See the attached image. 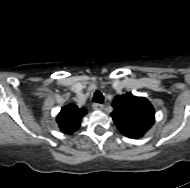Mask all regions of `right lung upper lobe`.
Here are the masks:
<instances>
[{
  "label": "right lung upper lobe",
  "mask_w": 190,
  "mask_h": 188,
  "mask_svg": "<svg viewBox=\"0 0 190 188\" xmlns=\"http://www.w3.org/2000/svg\"><path fill=\"white\" fill-rule=\"evenodd\" d=\"M86 114L87 110L84 107L79 108L71 103L62 107L56 120L63 133L71 134L80 127L81 120Z\"/></svg>",
  "instance_id": "right-lung-upper-lobe-1"
}]
</instances>
